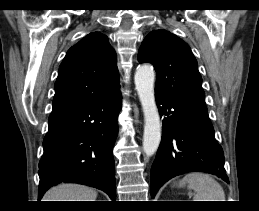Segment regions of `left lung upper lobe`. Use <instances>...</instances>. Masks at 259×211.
Instances as JSON below:
<instances>
[{
    "label": "left lung upper lobe",
    "instance_id": "obj_1",
    "mask_svg": "<svg viewBox=\"0 0 259 211\" xmlns=\"http://www.w3.org/2000/svg\"><path fill=\"white\" fill-rule=\"evenodd\" d=\"M138 61L155 67V92L205 104L197 61L190 47L174 34L166 30L150 32L140 47Z\"/></svg>",
    "mask_w": 259,
    "mask_h": 211
}]
</instances>
